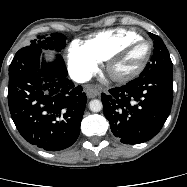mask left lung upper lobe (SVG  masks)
<instances>
[{"instance_id":"left-lung-upper-lobe-1","label":"left lung upper lobe","mask_w":187,"mask_h":187,"mask_svg":"<svg viewBox=\"0 0 187 187\" xmlns=\"http://www.w3.org/2000/svg\"><path fill=\"white\" fill-rule=\"evenodd\" d=\"M149 36L154 41L153 56L143 72L140 74V77L164 72H172L173 64L164 42L155 34L149 33Z\"/></svg>"}]
</instances>
